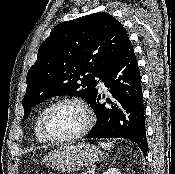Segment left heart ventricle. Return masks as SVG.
<instances>
[{
    "label": "left heart ventricle",
    "instance_id": "obj_1",
    "mask_svg": "<svg viewBox=\"0 0 175 174\" xmlns=\"http://www.w3.org/2000/svg\"><path fill=\"white\" fill-rule=\"evenodd\" d=\"M82 111L72 104H61L49 113L46 125L49 133L54 137H68L82 129L84 126Z\"/></svg>",
    "mask_w": 175,
    "mask_h": 174
}]
</instances>
